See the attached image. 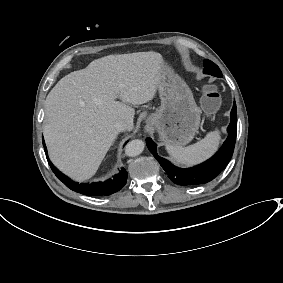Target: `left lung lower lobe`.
Instances as JSON below:
<instances>
[{
	"instance_id": "0a47b994",
	"label": "left lung lower lobe",
	"mask_w": 283,
	"mask_h": 283,
	"mask_svg": "<svg viewBox=\"0 0 283 283\" xmlns=\"http://www.w3.org/2000/svg\"><path fill=\"white\" fill-rule=\"evenodd\" d=\"M227 130L229 135L219 151L206 162L188 169L175 167L166 159L158 156L156 144L151 138H147L146 143L172 182L182 186L198 185L213 180L226 167L232 157L237 132V109L235 102L231 110V122Z\"/></svg>"
}]
</instances>
